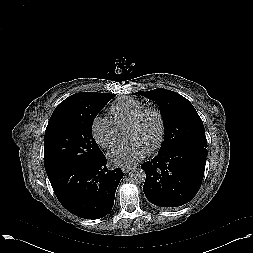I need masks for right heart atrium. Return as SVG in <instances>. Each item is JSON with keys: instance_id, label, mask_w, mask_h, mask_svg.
Listing matches in <instances>:
<instances>
[{"instance_id": "1", "label": "right heart atrium", "mask_w": 253, "mask_h": 253, "mask_svg": "<svg viewBox=\"0 0 253 253\" xmlns=\"http://www.w3.org/2000/svg\"><path fill=\"white\" fill-rule=\"evenodd\" d=\"M91 132L95 142L104 149L112 148L117 142V127L116 125L101 116L93 119Z\"/></svg>"}]
</instances>
